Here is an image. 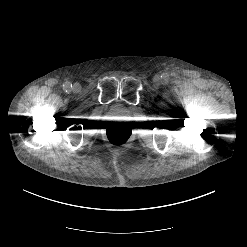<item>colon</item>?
I'll return each mask as SVG.
<instances>
[{
	"label": "colon",
	"instance_id": "1",
	"mask_svg": "<svg viewBox=\"0 0 247 247\" xmlns=\"http://www.w3.org/2000/svg\"><path fill=\"white\" fill-rule=\"evenodd\" d=\"M106 140L113 146H125L132 141V130L127 126L111 128L106 132Z\"/></svg>",
	"mask_w": 247,
	"mask_h": 247
}]
</instances>
